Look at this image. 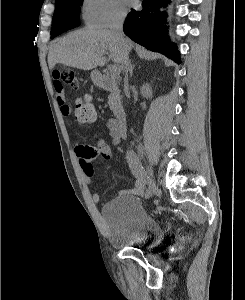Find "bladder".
Returning <instances> with one entry per match:
<instances>
[{"instance_id":"31cf9c89","label":"bladder","mask_w":245,"mask_h":300,"mask_svg":"<svg viewBox=\"0 0 245 300\" xmlns=\"http://www.w3.org/2000/svg\"><path fill=\"white\" fill-rule=\"evenodd\" d=\"M101 215L114 247L153 246L164 238L161 223L136 196L118 195L103 205Z\"/></svg>"}]
</instances>
